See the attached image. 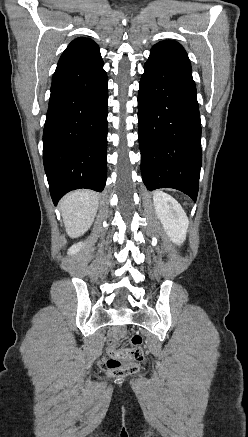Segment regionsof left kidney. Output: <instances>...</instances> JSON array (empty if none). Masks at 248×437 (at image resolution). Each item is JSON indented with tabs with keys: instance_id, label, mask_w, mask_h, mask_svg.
<instances>
[{
	"instance_id": "5707ae66",
	"label": "left kidney",
	"mask_w": 248,
	"mask_h": 437,
	"mask_svg": "<svg viewBox=\"0 0 248 437\" xmlns=\"http://www.w3.org/2000/svg\"><path fill=\"white\" fill-rule=\"evenodd\" d=\"M153 202L156 214L167 235L173 242L181 245L189 226L186 213L174 198L164 192H155Z\"/></svg>"
}]
</instances>
